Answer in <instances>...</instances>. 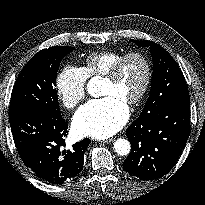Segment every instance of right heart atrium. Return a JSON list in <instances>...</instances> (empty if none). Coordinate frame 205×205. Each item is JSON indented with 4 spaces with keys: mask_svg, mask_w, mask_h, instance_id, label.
I'll return each mask as SVG.
<instances>
[{
    "mask_svg": "<svg viewBox=\"0 0 205 205\" xmlns=\"http://www.w3.org/2000/svg\"><path fill=\"white\" fill-rule=\"evenodd\" d=\"M86 76L81 68L67 65L57 75L55 91L64 107L72 109L85 96Z\"/></svg>",
    "mask_w": 205,
    "mask_h": 205,
    "instance_id": "right-heart-atrium-1",
    "label": "right heart atrium"
}]
</instances>
